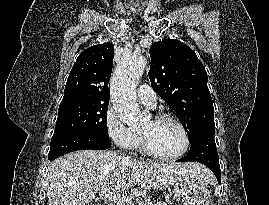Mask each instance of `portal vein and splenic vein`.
<instances>
[{"label":"portal vein and splenic vein","mask_w":269,"mask_h":205,"mask_svg":"<svg viewBox=\"0 0 269 205\" xmlns=\"http://www.w3.org/2000/svg\"><path fill=\"white\" fill-rule=\"evenodd\" d=\"M101 195L117 205H134L130 197L111 192L108 184L101 185Z\"/></svg>","instance_id":"portal-vein-and-splenic-vein-1"}]
</instances>
